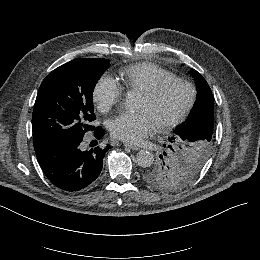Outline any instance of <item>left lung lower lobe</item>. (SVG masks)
<instances>
[{
    "label": "left lung lower lobe",
    "instance_id": "0a47b994",
    "mask_svg": "<svg viewBox=\"0 0 260 260\" xmlns=\"http://www.w3.org/2000/svg\"><path fill=\"white\" fill-rule=\"evenodd\" d=\"M196 113L192 116L194 124L192 127V134L204 135L213 132L214 110L213 108L205 107L202 104L196 108Z\"/></svg>",
    "mask_w": 260,
    "mask_h": 260
}]
</instances>
